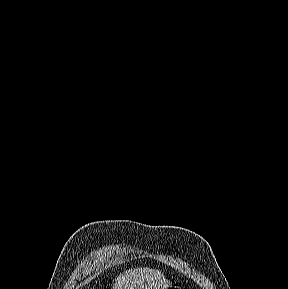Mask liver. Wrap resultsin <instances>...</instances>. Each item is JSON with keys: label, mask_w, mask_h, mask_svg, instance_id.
<instances>
[{"label": "liver", "mask_w": 288, "mask_h": 289, "mask_svg": "<svg viewBox=\"0 0 288 289\" xmlns=\"http://www.w3.org/2000/svg\"><path fill=\"white\" fill-rule=\"evenodd\" d=\"M171 285L159 270L148 267L129 269L115 279L113 289H166Z\"/></svg>", "instance_id": "1"}]
</instances>
